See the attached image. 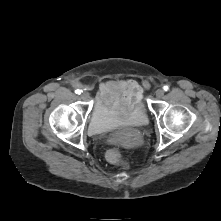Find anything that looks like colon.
Segmentation results:
<instances>
[{"label": "colon", "mask_w": 221, "mask_h": 221, "mask_svg": "<svg viewBox=\"0 0 221 221\" xmlns=\"http://www.w3.org/2000/svg\"><path fill=\"white\" fill-rule=\"evenodd\" d=\"M107 159L112 163L121 164L123 166H126V162L123 160V158L121 156V152L118 148L110 149L107 152Z\"/></svg>", "instance_id": "obj_1"}]
</instances>
